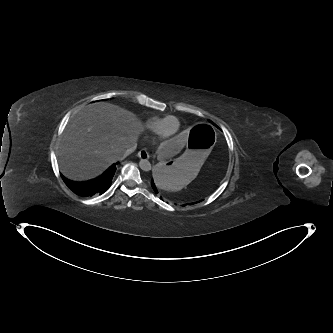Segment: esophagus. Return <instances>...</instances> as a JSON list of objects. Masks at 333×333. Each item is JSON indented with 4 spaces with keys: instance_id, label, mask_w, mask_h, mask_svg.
I'll use <instances>...</instances> for the list:
<instances>
[{
    "instance_id": "obj_1",
    "label": "esophagus",
    "mask_w": 333,
    "mask_h": 333,
    "mask_svg": "<svg viewBox=\"0 0 333 333\" xmlns=\"http://www.w3.org/2000/svg\"><path fill=\"white\" fill-rule=\"evenodd\" d=\"M138 157L142 160H147L149 158V154L147 152V150L145 148H142L139 152H138Z\"/></svg>"
}]
</instances>
